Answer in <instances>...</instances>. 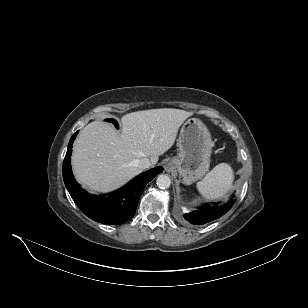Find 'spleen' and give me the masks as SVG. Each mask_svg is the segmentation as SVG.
Wrapping results in <instances>:
<instances>
[{
  "label": "spleen",
  "instance_id": "1",
  "mask_svg": "<svg viewBox=\"0 0 308 308\" xmlns=\"http://www.w3.org/2000/svg\"><path fill=\"white\" fill-rule=\"evenodd\" d=\"M234 173L231 166L221 163L215 166L202 181L197 183L199 193L207 200L224 197L232 187Z\"/></svg>",
  "mask_w": 308,
  "mask_h": 308
}]
</instances>
